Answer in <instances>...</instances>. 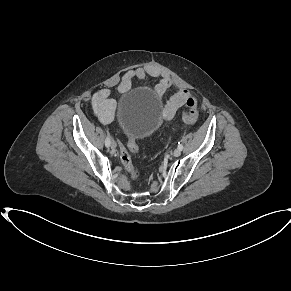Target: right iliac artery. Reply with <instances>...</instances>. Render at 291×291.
Returning a JSON list of instances; mask_svg holds the SVG:
<instances>
[{
	"label": "right iliac artery",
	"instance_id": "right-iliac-artery-1",
	"mask_svg": "<svg viewBox=\"0 0 291 291\" xmlns=\"http://www.w3.org/2000/svg\"><path fill=\"white\" fill-rule=\"evenodd\" d=\"M110 143H111L110 137H109V135H107L106 140H105L106 147H109L110 146Z\"/></svg>",
	"mask_w": 291,
	"mask_h": 291
}]
</instances>
